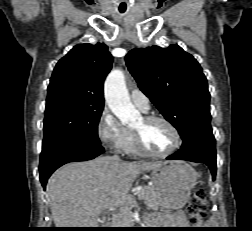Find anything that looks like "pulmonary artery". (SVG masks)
<instances>
[{
    "label": "pulmonary artery",
    "instance_id": "obj_1",
    "mask_svg": "<svg viewBox=\"0 0 252 231\" xmlns=\"http://www.w3.org/2000/svg\"><path fill=\"white\" fill-rule=\"evenodd\" d=\"M131 100L133 104L143 112H147L150 109L148 97L139 89H132L130 92Z\"/></svg>",
    "mask_w": 252,
    "mask_h": 231
}]
</instances>
